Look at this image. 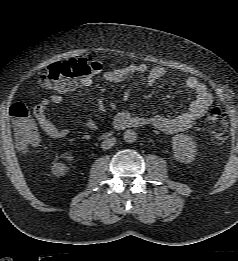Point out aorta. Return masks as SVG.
<instances>
[{
  "instance_id": "obj_1",
  "label": "aorta",
  "mask_w": 238,
  "mask_h": 261,
  "mask_svg": "<svg viewBox=\"0 0 238 261\" xmlns=\"http://www.w3.org/2000/svg\"><path fill=\"white\" fill-rule=\"evenodd\" d=\"M124 140L127 143H133L137 140V133L134 130H126L124 132Z\"/></svg>"
}]
</instances>
